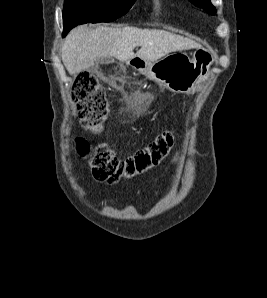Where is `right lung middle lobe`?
<instances>
[{
  "label": "right lung middle lobe",
  "instance_id": "obj_1",
  "mask_svg": "<svg viewBox=\"0 0 267 298\" xmlns=\"http://www.w3.org/2000/svg\"><path fill=\"white\" fill-rule=\"evenodd\" d=\"M135 0H65L64 31L87 22H109L126 14Z\"/></svg>",
  "mask_w": 267,
  "mask_h": 298
}]
</instances>
